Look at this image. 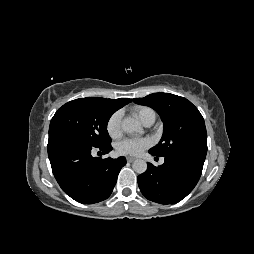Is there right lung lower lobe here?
<instances>
[{"label": "right lung lower lobe", "instance_id": "obj_1", "mask_svg": "<svg viewBox=\"0 0 254 254\" xmlns=\"http://www.w3.org/2000/svg\"><path fill=\"white\" fill-rule=\"evenodd\" d=\"M48 157L52 171L62 190L75 201L93 204L107 199L116 184L124 157L117 159L93 157L91 152L107 154L110 144L100 147L90 145L78 138L50 134Z\"/></svg>", "mask_w": 254, "mask_h": 254}]
</instances>
